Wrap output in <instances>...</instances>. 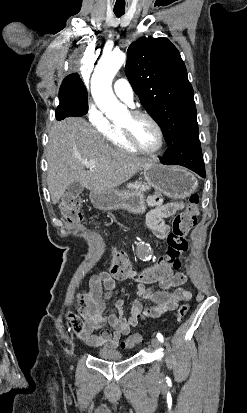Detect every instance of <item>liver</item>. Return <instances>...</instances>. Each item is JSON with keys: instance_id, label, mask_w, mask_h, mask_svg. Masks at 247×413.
<instances>
[{"instance_id": "obj_1", "label": "liver", "mask_w": 247, "mask_h": 413, "mask_svg": "<svg viewBox=\"0 0 247 413\" xmlns=\"http://www.w3.org/2000/svg\"><path fill=\"white\" fill-rule=\"evenodd\" d=\"M95 158L96 166L82 160ZM47 182L53 204L59 202L71 182L102 192L116 188L152 162L110 146L85 118L56 120L49 132Z\"/></svg>"}]
</instances>
